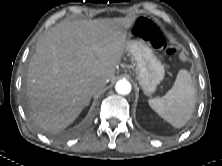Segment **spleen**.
I'll list each match as a JSON object with an SVG mask.
<instances>
[{"instance_id":"obj_1","label":"spleen","mask_w":222,"mask_h":166,"mask_svg":"<svg viewBox=\"0 0 222 166\" xmlns=\"http://www.w3.org/2000/svg\"><path fill=\"white\" fill-rule=\"evenodd\" d=\"M149 106L175 128L183 127L195 106V88L187 70H180L172 88L161 98L149 99Z\"/></svg>"}]
</instances>
